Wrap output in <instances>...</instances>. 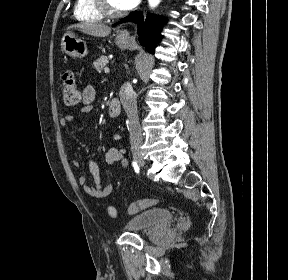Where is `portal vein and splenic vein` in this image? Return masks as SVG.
<instances>
[{
  "label": "portal vein and splenic vein",
  "instance_id": "obj_1",
  "mask_svg": "<svg viewBox=\"0 0 288 280\" xmlns=\"http://www.w3.org/2000/svg\"><path fill=\"white\" fill-rule=\"evenodd\" d=\"M104 72H105V73H109V72H110V69L107 67V68L104 69Z\"/></svg>",
  "mask_w": 288,
  "mask_h": 280
}]
</instances>
